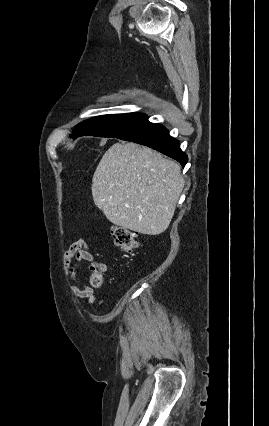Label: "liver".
Listing matches in <instances>:
<instances>
[{
	"mask_svg": "<svg viewBox=\"0 0 269 426\" xmlns=\"http://www.w3.org/2000/svg\"><path fill=\"white\" fill-rule=\"evenodd\" d=\"M185 181L173 160L135 143H115L92 178L95 205L106 218L141 234L159 235L169 226Z\"/></svg>",
	"mask_w": 269,
	"mask_h": 426,
	"instance_id": "6515ba94",
	"label": "liver"
}]
</instances>
